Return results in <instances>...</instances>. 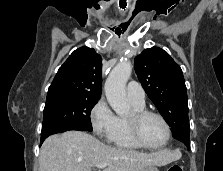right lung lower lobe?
Here are the masks:
<instances>
[{
  "label": "right lung lower lobe",
  "instance_id": "1",
  "mask_svg": "<svg viewBox=\"0 0 223 171\" xmlns=\"http://www.w3.org/2000/svg\"><path fill=\"white\" fill-rule=\"evenodd\" d=\"M68 130L88 131V130L80 127V126L73 125V124L61 125V126H58V127L53 128L48 133H46L45 135L41 136V143L49 135L56 134V133H61V132H65V131H68Z\"/></svg>",
  "mask_w": 223,
  "mask_h": 171
}]
</instances>
